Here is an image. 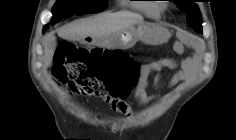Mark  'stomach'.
<instances>
[{
    "label": "stomach",
    "mask_w": 236,
    "mask_h": 140,
    "mask_svg": "<svg viewBox=\"0 0 236 140\" xmlns=\"http://www.w3.org/2000/svg\"><path fill=\"white\" fill-rule=\"evenodd\" d=\"M170 37L167 28L158 23L142 22L126 31H110V37H101L99 40H92L99 45L110 48L127 49L132 47L138 40L148 44L158 45L165 43Z\"/></svg>",
    "instance_id": "stomach-1"
}]
</instances>
